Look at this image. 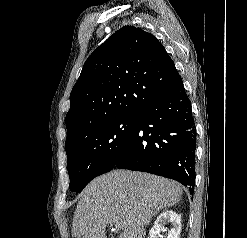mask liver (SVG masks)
Segmentation results:
<instances>
[{
    "label": "liver",
    "instance_id": "6515ba94",
    "mask_svg": "<svg viewBox=\"0 0 247 238\" xmlns=\"http://www.w3.org/2000/svg\"><path fill=\"white\" fill-rule=\"evenodd\" d=\"M169 179L148 173L113 170L93 179L80 195L72 222L74 238H106L107 225L120 223L118 238H144V227L161 209L181 200Z\"/></svg>",
    "mask_w": 247,
    "mask_h": 238
}]
</instances>
